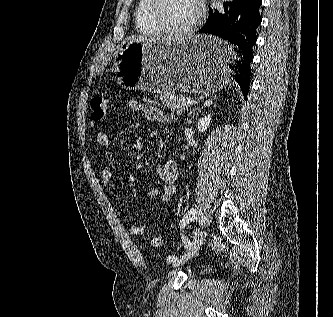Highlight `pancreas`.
I'll use <instances>...</instances> for the list:
<instances>
[{
  "instance_id": "cf45deb5",
  "label": "pancreas",
  "mask_w": 333,
  "mask_h": 317,
  "mask_svg": "<svg viewBox=\"0 0 333 317\" xmlns=\"http://www.w3.org/2000/svg\"><path fill=\"white\" fill-rule=\"evenodd\" d=\"M162 104L181 115L189 110V105L183 95H174L172 92H162L159 96Z\"/></svg>"
}]
</instances>
